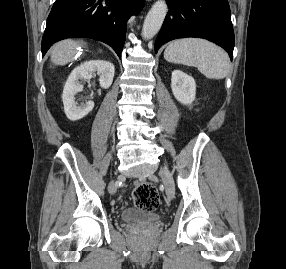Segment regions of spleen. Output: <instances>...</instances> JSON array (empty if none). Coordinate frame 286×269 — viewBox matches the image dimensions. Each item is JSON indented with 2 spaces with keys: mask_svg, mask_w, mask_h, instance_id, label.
Segmentation results:
<instances>
[{
  "mask_svg": "<svg viewBox=\"0 0 286 269\" xmlns=\"http://www.w3.org/2000/svg\"><path fill=\"white\" fill-rule=\"evenodd\" d=\"M171 63L197 67L208 79H223L230 71L227 53L204 39L185 38L171 42L164 51Z\"/></svg>",
  "mask_w": 286,
  "mask_h": 269,
  "instance_id": "spleen-1",
  "label": "spleen"
}]
</instances>
